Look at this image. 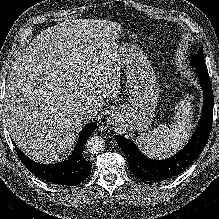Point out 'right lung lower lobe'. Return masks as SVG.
<instances>
[{"label":"right lung lower lobe","mask_w":219,"mask_h":219,"mask_svg":"<svg viewBox=\"0 0 219 219\" xmlns=\"http://www.w3.org/2000/svg\"><path fill=\"white\" fill-rule=\"evenodd\" d=\"M97 123H89L82 130L69 160L57 164L43 165L29 159L16 147L17 154L25 167L37 177L52 183L73 186L81 183L89 175L92 163L82 154L85 142L96 129Z\"/></svg>","instance_id":"1"}]
</instances>
